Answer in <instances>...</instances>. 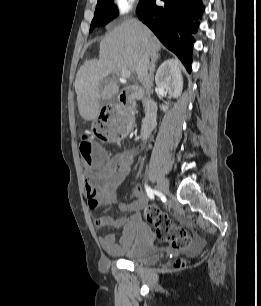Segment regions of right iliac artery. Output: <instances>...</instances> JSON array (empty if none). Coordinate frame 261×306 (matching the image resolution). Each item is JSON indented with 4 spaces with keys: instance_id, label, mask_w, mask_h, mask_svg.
Masks as SVG:
<instances>
[{
    "instance_id": "obj_1",
    "label": "right iliac artery",
    "mask_w": 261,
    "mask_h": 306,
    "mask_svg": "<svg viewBox=\"0 0 261 306\" xmlns=\"http://www.w3.org/2000/svg\"><path fill=\"white\" fill-rule=\"evenodd\" d=\"M147 195L150 199H154V194L156 191H154L152 188H150L148 185H145Z\"/></svg>"
}]
</instances>
